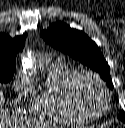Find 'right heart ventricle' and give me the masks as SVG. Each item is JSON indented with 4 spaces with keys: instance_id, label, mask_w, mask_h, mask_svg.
Masks as SVG:
<instances>
[{
    "instance_id": "e07e8e85",
    "label": "right heart ventricle",
    "mask_w": 125,
    "mask_h": 128,
    "mask_svg": "<svg viewBox=\"0 0 125 128\" xmlns=\"http://www.w3.org/2000/svg\"><path fill=\"white\" fill-rule=\"evenodd\" d=\"M77 71L61 61L50 64L46 80L31 100V112L41 118L66 123L83 124L87 118L79 113L68 96V85Z\"/></svg>"
}]
</instances>
